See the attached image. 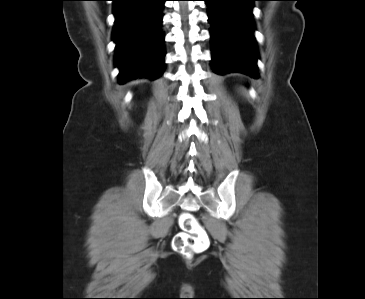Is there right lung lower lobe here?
<instances>
[{"mask_svg": "<svg viewBox=\"0 0 365 299\" xmlns=\"http://www.w3.org/2000/svg\"><path fill=\"white\" fill-rule=\"evenodd\" d=\"M112 39L120 84L137 77L157 79L164 70L162 9L166 0H112Z\"/></svg>", "mask_w": 365, "mask_h": 299, "instance_id": "right-lung-lower-lobe-1", "label": "right lung lower lobe"}]
</instances>
